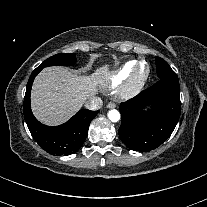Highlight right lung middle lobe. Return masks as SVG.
I'll return each mask as SVG.
<instances>
[{"label":"right lung middle lobe","instance_id":"1","mask_svg":"<svg viewBox=\"0 0 207 207\" xmlns=\"http://www.w3.org/2000/svg\"><path fill=\"white\" fill-rule=\"evenodd\" d=\"M75 56L76 55L74 53H59L45 60L36 69L42 70L44 67L54 66V65L73 66L76 63Z\"/></svg>","mask_w":207,"mask_h":207}]
</instances>
